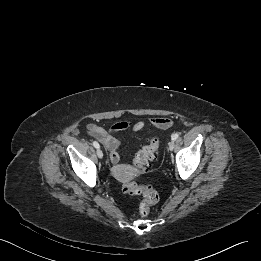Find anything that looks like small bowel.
<instances>
[{
    "instance_id": "c3829d8e",
    "label": "small bowel",
    "mask_w": 261,
    "mask_h": 261,
    "mask_svg": "<svg viewBox=\"0 0 261 261\" xmlns=\"http://www.w3.org/2000/svg\"><path fill=\"white\" fill-rule=\"evenodd\" d=\"M173 120L170 118H151L137 122L120 121L112 124L104 129L94 123L87 125V132L90 136L101 142L109 151V159L113 164L119 161L120 141L116 138V134L131 129L132 131H140L147 125H151L158 129H166L172 126Z\"/></svg>"
}]
</instances>
